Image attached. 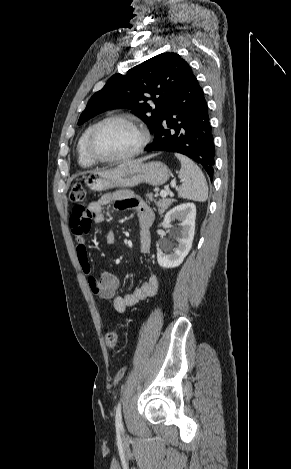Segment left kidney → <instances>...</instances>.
Segmentation results:
<instances>
[{
	"label": "left kidney",
	"instance_id": "1",
	"mask_svg": "<svg viewBox=\"0 0 291 469\" xmlns=\"http://www.w3.org/2000/svg\"><path fill=\"white\" fill-rule=\"evenodd\" d=\"M196 219V206L193 203L178 205L168 211L164 217L162 226L170 224L174 220H179L180 229L176 234L178 245L169 254H164L161 250L157 252L158 264L163 268H175L179 266L188 255L194 238ZM160 225V226H161ZM171 248L167 247L166 251Z\"/></svg>",
	"mask_w": 291,
	"mask_h": 469
}]
</instances>
